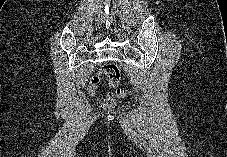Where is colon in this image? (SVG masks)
I'll return each mask as SVG.
<instances>
[{"instance_id": "5ec220e1", "label": "colon", "mask_w": 227, "mask_h": 157, "mask_svg": "<svg viewBox=\"0 0 227 157\" xmlns=\"http://www.w3.org/2000/svg\"><path fill=\"white\" fill-rule=\"evenodd\" d=\"M100 73L107 76L109 87L112 91L108 92L105 96L103 105L107 110L114 109L118 98H123L130 95V91L127 89H119L118 85L121 78L120 69L114 63H105L100 68ZM99 81V76L92 77L89 90L93 92L96 84Z\"/></svg>"}]
</instances>
